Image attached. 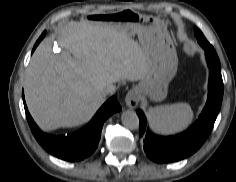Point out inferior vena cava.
<instances>
[{"label":"inferior vena cava","mask_w":236,"mask_h":182,"mask_svg":"<svg viewBox=\"0 0 236 182\" xmlns=\"http://www.w3.org/2000/svg\"><path fill=\"white\" fill-rule=\"evenodd\" d=\"M113 92H114V88L112 86H106L101 91L102 95L104 96L111 95L113 94Z\"/></svg>","instance_id":"602c4592"}]
</instances>
